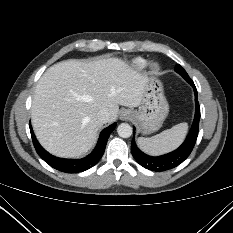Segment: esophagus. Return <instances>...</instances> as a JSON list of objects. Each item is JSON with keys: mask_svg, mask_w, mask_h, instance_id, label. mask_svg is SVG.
<instances>
[{"mask_svg": "<svg viewBox=\"0 0 233 233\" xmlns=\"http://www.w3.org/2000/svg\"><path fill=\"white\" fill-rule=\"evenodd\" d=\"M131 118V112L129 110H123L120 113V119L121 120H128Z\"/></svg>", "mask_w": 233, "mask_h": 233, "instance_id": "34e87169", "label": "esophagus"}]
</instances>
